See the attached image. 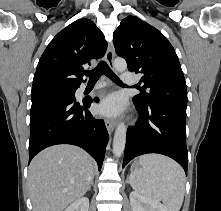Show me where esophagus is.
<instances>
[{
	"label": "esophagus",
	"mask_w": 221,
	"mask_h": 211,
	"mask_svg": "<svg viewBox=\"0 0 221 211\" xmlns=\"http://www.w3.org/2000/svg\"><path fill=\"white\" fill-rule=\"evenodd\" d=\"M114 47L112 43H109L107 52H106V62L111 67L114 68ZM105 125L109 133H112L115 128V122L108 118L105 119Z\"/></svg>",
	"instance_id": "1"
}]
</instances>
